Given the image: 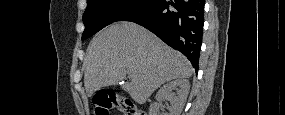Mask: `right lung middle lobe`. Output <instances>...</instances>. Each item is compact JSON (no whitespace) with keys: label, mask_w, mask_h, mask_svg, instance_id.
<instances>
[{"label":"right lung middle lobe","mask_w":285,"mask_h":115,"mask_svg":"<svg viewBox=\"0 0 285 115\" xmlns=\"http://www.w3.org/2000/svg\"><path fill=\"white\" fill-rule=\"evenodd\" d=\"M155 0H88L83 14L85 40L110 23L122 21L130 14L139 11Z\"/></svg>","instance_id":"1"}]
</instances>
